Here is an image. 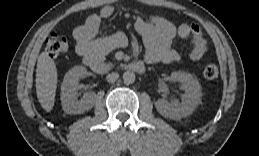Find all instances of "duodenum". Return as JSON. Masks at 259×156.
<instances>
[{
  "label": "duodenum",
  "instance_id": "1",
  "mask_svg": "<svg viewBox=\"0 0 259 156\" xmlns=\"http://www.w3.org/2000/svg\"><path fill=\"white\" fill-rule=\"evenodd\" d=\"M85 63L96 73L104 74L112 70V66L106 64L102 60L86 56L84 57ZM122 68L129 71H133L138 74H142L145 71V65L141 61H135L126 65H123Z\"/></svg>",
  "mask_w": 259,
  "mask_h": 156
}]
</instances>
